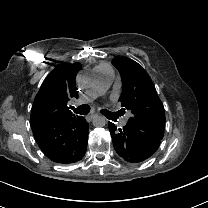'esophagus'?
I'll return each mask as SVG.
<instances>
[{
	"mask_svg": "<svg viewBox=\"0 0 208 208\" xmlns=\"http://www.w3.org/2000/svg\"><path fill=\"white\" fill-rule=\"evenodd\" d=\"M96 116H97V114H90V115H88L86 118H87L88 121H91V120H93Z\"/></svg>",
	"mask_w": 208,
	"mask_h": 208,
	"instance_id": "esophagus-1",
	"label": "esophagus"
}]
</instances>
